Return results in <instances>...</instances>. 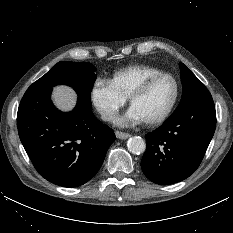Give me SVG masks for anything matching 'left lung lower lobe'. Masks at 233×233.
Instances as JSON below:
<instances>
[{
  "label": "left lung lower lobe",
  "instance_id": "left-lung-lower-lobe-1",
  "mask_svg": "<svg viewBox=\"0 0 233 233\" xmlns=\"http://www.w3.org/2000/svg\"><path fill=\"white\" fill-rule=\"evenodd\" d=\"M215 127L213 100L170 116L155 132L145 135L147 147L141 161L145 176L160 185L189 177L200 165Z\"/></svg>",
  "mask_w": 233,
  "mask_h": 233
}]
</instances>
